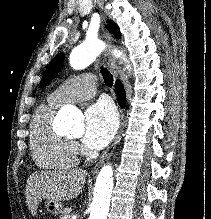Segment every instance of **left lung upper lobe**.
<instances>
[{"label": "left lung upper lobe", "mask_w": 211, "mask_h": 219, "mask_svg": "<svg viewBox=\"0 0 211 219\" xmlns=\"http://www.w3.org/2000/svg\"><path fill=\"white\" fill-rule=\"evenodd\" d=\"M107 28L116 38L119 39L121 37L119 27L113 21L110 20L108 22ZM63 60H64V54L60 53L50 62L47 69L45 70V73L42 76L40 82L41 87L46 86L50 81L54 79V77L60 71Z\"/></svg>", "instance_id": "left-lung-upper-lobe-1"}]
</instances>
